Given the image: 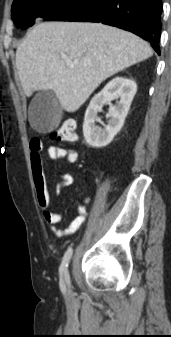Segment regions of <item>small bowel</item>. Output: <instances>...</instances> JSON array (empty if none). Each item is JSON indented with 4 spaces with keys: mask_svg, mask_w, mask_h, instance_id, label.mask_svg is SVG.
Masks as SVG:
<instances>
[{
    "mask_svg": "<svg viewBox=\"0 0 171 337\" xmlns=\"http://www.w3.org/2000/svg\"><path fill=\"white\" fill-rule=\"evenodd\" d=\"M31 153V171L35 189L37 203L43 211V219L51 227V230L57 237H65L76 233L86 220L87 207L90 198L82 199L77 206L78 214L69 223L66 228H57L62 222V215L51 209V196L47 186L44 172V161L41 154L42 143L38 138H33L30 142ZM47 156L50 160H64L68 163H75L78 160V151L74 148L50 145L47 148ZM74 182L73 176L69 173L59 175V183L55 187V193L60 194L65 188L71 186Z\"/></svg>",
    "mask_w": 171,
    "mask_h": 337,
    "instance_id": "c3829d8e",
    "label": "small bowel"
}]
</instances>
